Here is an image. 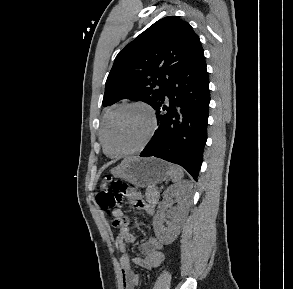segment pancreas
Instances as JSON below:
<instances>
[{
  "instance_id": "1",
  "label": "pancreas",
  "mask_w": 293,
  "mask_h": 289,
  "mask_svg": "<svg viewBox=\"0 0 293 289\" xmlns=\"http://www.w3.org/2000/svg\"><path fill=\"white\" fill-rule=\"evenodd\" d=\"M146 200L149 203H157L159 199V192L155 186H149L145 193Z\"/></svg>"
}]
</instances>
